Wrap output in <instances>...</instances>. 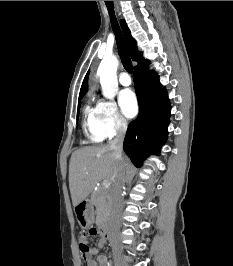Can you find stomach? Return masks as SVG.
I'll use <instances>...</instances> for the list:
<instances>
[{"instance_id":"obj_1","label":"stomach","mask_w":233,"mask_h":266,"mask_svg":"<svg viewBox=\"0 0 233 266\" xmlns=\"http://www.w3.org/2000/svg\"><path fill=\"white\" fill-rule=\"evenodd\" d=\"M94 204H87V199H80V204H76L74 214L79 228H92L94 221Z\"/></svg>"}]
</instances>
